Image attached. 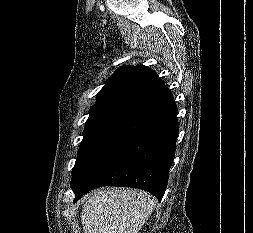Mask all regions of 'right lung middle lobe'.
Here are the masks:
<instances>
[{
    "instance_id": "1",
    "label": "right lung middle lobe",
    "mask_w": 253,
    "mask_h": 233,
    "mask_svg": "<svg viewBox=\"0 0 253 233\" xmlns=\"http://www.w3.org/2000/svg\"><path fill=\"white\" fill-rule=\"evenodd\" d=\"M134 105L132 101H110L95 104L90 109L72 174Z\"/></svg>"
}]
</instances>
